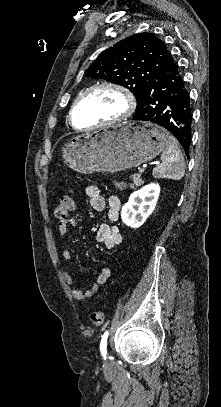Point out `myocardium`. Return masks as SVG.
<instances>
[{
	"label": "myocardium",
	"instance_id": "f54148a6",
	"mask_svg": "<svg viewBox=\"0 0 221 407\" xmlns=\"http://www.w3.org/2000/svg\"><path fill=\"white\" fill-rule=\"evenodd\" d=\"M100 89H112V90H115V91L121 93L122 96L125 99V102H126L125 111L120 116H118V117H116L114 119L108 120L106 122H103V123H101V124H99L97 126H94V127H91V128H85V129L78 128L76 126V124H75V114H76L77 108L79 107L80 103L89 94H91V93H93V92H95L97 90H100ZM135 107H136L135 98H134L132 92L126 86H123V85H120V84H115V83H100V84H96V85H93V86L89 87L88 89L83 91L76 98V100L74 101V103H73V105L71 107L70 113H69V120H70L72 126L74 128H76L77 130L90 131V130L98 129V128H100L102 126H105V125H112V124H116L118 122H121V121L125 120L126 118H128L129 116L132 115V113L135 110Z\"/></svg>",
	"mask_w": 221,
	"mask_h": 407
}]
</instances>
